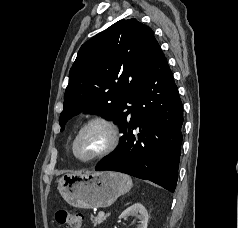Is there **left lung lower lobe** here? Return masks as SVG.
Masks as SVG:
<instances>
[{"mask_svg":"<svg viewBox=\"0 0 238 228\" xmlns=\"http://www.w3.org/2000/svg\"><path fill=\"white\" fill-rule=\"evenodd\" d=\"M183 106L172 72L161 51L144 75L127 119L120 145L96 171L112 170L150 180L174 192L178 179ZM138 129V131H134Z\"/></svg>","mask_w":238,"mask_h":228,"instance_id":"0a47b994","label":"left lung lower lobe"}]
</instances>
